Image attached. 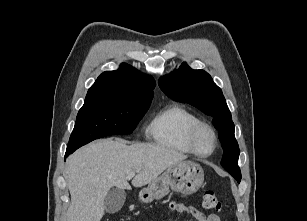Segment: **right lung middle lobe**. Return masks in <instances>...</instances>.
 Masks as SVG:
<instances>
[{"mask_svg": "<svg viewBox=\"0 0 307 221\" xmlns=\"http://www.w3.org/2000/svg\"><path fill=\"white\" fill-rule=\"evenodd\" d=\"M150 103L133 98H104L85 102L78 112L66 154L101 137L132 133Z\"/></svg>", "mask_w": 307, "mask_h": 221, "instance_id": "right-lung-middle-lobe-1", "label": "right lung middle lobe"}]
</instances>
